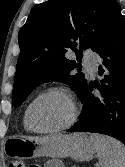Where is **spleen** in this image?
<instances>
[{"label": "spleen", "mask_w": 125, "mask_h": 167, "mask_svg": "<svg viewBox=\"0 0 125 167\" xmlns=\"http://www.w3.org/2000/svg\"><path fill=\"white\" fill-rule=\"evenodd\" d=\"M101 167H125V146L118 140L101 135L90 136Z\"/></svg>", "instance_id": "3e777b00"}]
</instances>
